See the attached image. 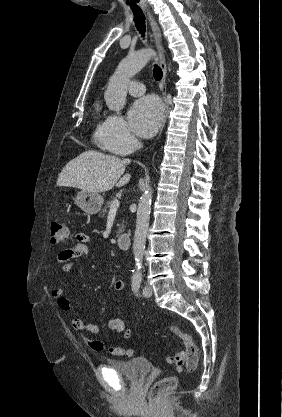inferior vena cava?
<instances>
[{
  "mask_svg": "<svg viewBox=\"0 0 282 417\" xmlns=\"http://www.w3.org/2000/svg\"><path fill=\"white\" fill-rule=\"evenodd\" d=\"M138 146H139V148H141L142 144H140V142H139Z\"/></svg>",
  "mask_w": 282,
  "mask_h": 417,
  "instance_id": "1",
  "label": "inferior vena cava"
}]
</instances>
